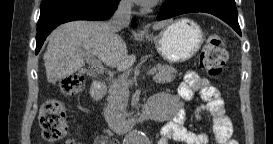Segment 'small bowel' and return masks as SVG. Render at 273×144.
Here are the masks:
<instances>
[{
  "label": "small bowel",
  "mask_w": 273,
  "mask_h": 144,
  "mask_svg": "<svg viewBox=\"0 0 273 144\" xmlns=\"http://www.w3.org/2000/svg\"><path fill=\"white\" fill-rule=\"evenodd\" d=\"M167 97L170 104L166 110V122L161 128L158 144H168L169 141L184 144L210 143L208 134L196 133L184 126L187 114L183 104L192 101L195 97H199L202 102L196 109V117L201 118L203 113L212 117L216 143L236 144V140L232 137V126L226 111L225 101L220 91L208 79L201 77L194 71H189L185 74L178 93L167 95ZM68 143L75 144L76 142L69 141ZM94 143L109 144L115 142L104 135H99Z\"/></svg>",
  "instance_id": "obj_1"
}]
</instances>
